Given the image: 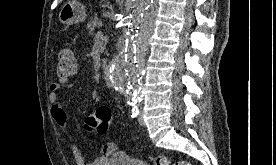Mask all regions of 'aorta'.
<instances>
[{
    "instance_id": "762f6f07",
    "label": "aorta",
    "mask_w": 276,
    "mask_h": 165,
    "mask_svg": "<svg viewBox=\"0 0 276 165\" xmlns=\"http://www.w3.org/2000/svg\"><path fill=\"white\" fill-rule=\"evenodd\" d=\"M157 0H131V14L120 52L108 65V77L114 88L123 90L129 100L141 99L144 55L155 29Z\"/></svg>"
}]
</instances>
